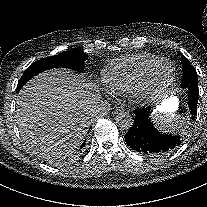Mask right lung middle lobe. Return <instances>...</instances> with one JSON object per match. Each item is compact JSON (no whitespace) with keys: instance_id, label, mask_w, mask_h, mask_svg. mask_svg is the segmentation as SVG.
<instances>
[{"instance_id":"obj_1","label":"right lung middle lobe","mask_w":207,"mask_h":207,"mask_svg":"<svg viewBox=\"0 0 207 207\" xmlns=\"http://www.w3.org/2000/svg\"><path fill=\"white\" fill-rule=\"evenodd\" d=\"M87 59V55L82 51L72 49L52 57L38 60L25 70L24 74L18 82L16 91L19 92L25 83L35 75L51 68L62 67L82 72L84 70V62Z\"/></svg>"}]
</instances>
